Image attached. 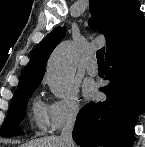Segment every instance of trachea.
<instances>
[{"label":"trachea","instance_id":"1","mask_svg":"<svg viewBox=\"0 0 145 147\" xmlns=\"http://www.w3.org/2000/svg\"><path fill=\"white\" fill-rule=\"evenodd\" d=\"M104 53H105V48H101L97 51L96 57H97L98 65H105V63H104Z\"/></svg>","mask_w":145,"mask_h":147}]
</instances>
